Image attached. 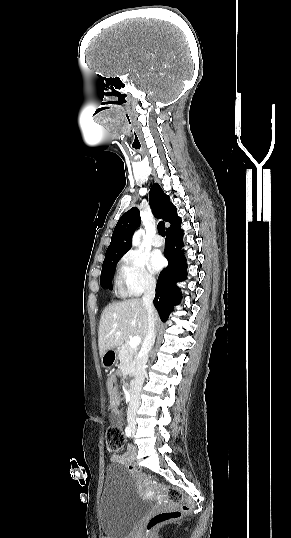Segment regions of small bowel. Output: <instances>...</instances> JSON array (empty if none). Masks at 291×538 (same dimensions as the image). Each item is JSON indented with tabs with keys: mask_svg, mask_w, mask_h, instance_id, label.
<instances>
[{
	"mask_svg": "<svg viewBox=\"0 0 291 538\" xmlns=\"http://www.w3.org/2000/svg\"><path fill=\"white\" fill-rule=\"evenodd\" d=\"M107 390L109 396V410L111 419L115 423H119L121 412L119 411V394L117 389V379L115 375H110L107 379ZM136 458V449L133 445H129L123 454L112 455L110 461L113 463L126 464L132 462Z\"/></svg>",
	"mask_w": 291,
	"mask_h": 538,
	"instance_id": "1",
	"label": "small bowel"
}]
</instances>
